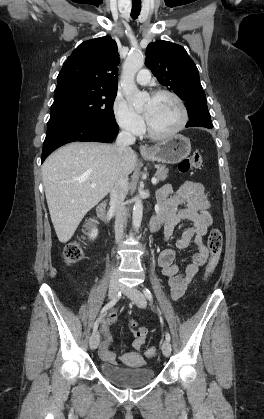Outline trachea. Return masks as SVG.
<instances>
[{"instance_id": "3493384b", "label": "trachea", "mask_w": 264, "mask_h": 419, "mask_svg": "<svg viewBox=\"0 0 264 419\" xmlns=\"http://www.w3.org/2000/svg\"><path fill=\"white\" fill-rule=\"evenodd\" d=\"M141 11V4H132L131 17L136 19Z\"/></svg>"}]
</instances>
